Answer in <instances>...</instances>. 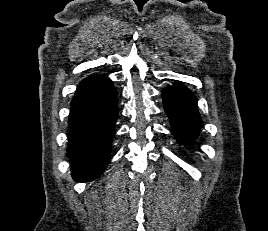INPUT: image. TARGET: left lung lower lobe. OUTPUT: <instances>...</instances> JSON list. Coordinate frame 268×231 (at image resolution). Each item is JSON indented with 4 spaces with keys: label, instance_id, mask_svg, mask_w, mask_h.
Masks as SVG:
<instances>
[{
    "label": "left lung lower lobe",
    "instance_id": "left-lung-lower-lobe-1",
    "mask_svg": "<svg viewBox=\"0 0 268 231\" xmlns=\"http://www.w3.org/2000/svg\"><path fill=\"white\" fill-rule=\"evenodd\" d=\"M162 98L177 142L180 145L192 144L202 126L196 96L178 82L163 89Z\"/></svg>",
    "mask_w": 268,
    "mask_h": 231
}]
</instances>
